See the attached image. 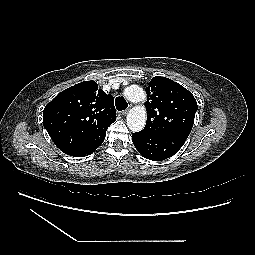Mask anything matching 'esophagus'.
<instances>
[{
    "label": "esophagus",
    "mask_w": 255,
    "mask_h": 255,
    "mask_svg": "<svg viewBox=\"0 0 255 255\" xmlns=\"http://www.w3.org/2000/svg\"><path fill=\"white\" fill-rule=\"evenodd\" d=\"M128 111H129V108H128V109L123 110V111L121 112V114H122L123 116H125V115H127Z\"/></svg>",
    "instance_id": "esophagus-1"
}]
</instances>
